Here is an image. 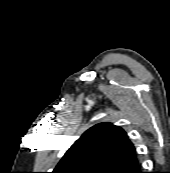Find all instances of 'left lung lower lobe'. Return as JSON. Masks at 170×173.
<instances>
[{
  "label": "left lung lower lobe",
  "instance_id": "obj_1",
  "mask_svg": "<svg viewBox=\"0 0 170 173\" xmlns=\"http://www.w3.org/2000/svg\"><path fill=\"white\" fill-rule=\"evenodd\" d=\"M118 173H143L139 161L136 159L127 166L123 167Z\"/></svg>",
  "mask_w": 170,
  "mask_h": 173
}]
</instances>
